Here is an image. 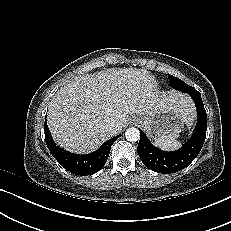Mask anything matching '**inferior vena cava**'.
Here are the masks:
<instances>
[{"mask_svg": "<svg viewBox=\"0 0 231 231\" xmlns=\"http://www.w3.org/2000/svg\"><path fill=\"white\" fill-rule=\"evenodd\" d=\"M108 129L113 133H118L122 129V125L117 121H112L108 125Z\"/></svg>", "mask_w": 231, "mask_h": 231, "instance_id": "602c4592", "label": "inferior vena cava"}]
</instances>
